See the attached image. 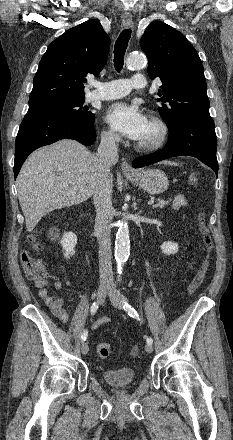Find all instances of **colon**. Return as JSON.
Instances as JSON below:
<instances>
[{
  "mask_svg": "<svg viewBox=\"0 0 233 440\" xmlns=\"http://www.w3.org/2000/svg\"><path fill=\"white\" fill-rule=\"evenodd\" d=\"M190 185H198L199 177L195 173H191L188 178ZM198 225L200 233L202 235L204 247L206 250V258L204 259L200 269L196 272L192 280L190 281L187 292L188 294H193L203 283L208 266H209V255L213 249V240L209 228L206 224V215L204 212L198 214ZM28 242L31 250L37 251L40 249V244L35 241L34 237H29ZM20 260L26 277L43 285L45 283L46 272L43 264L32 257L30 251L23 250L20 253ZM97 353L102 359H109L112 356V347L109 343L101 342L97 345ZM139 351L137 348L132 350V356H138Z\"/></svg>",
  "mask_w": 233,
  "mask_h": 440,
  "instance_id": "obj_1",
  "label": "colon"
}]
</instances>
